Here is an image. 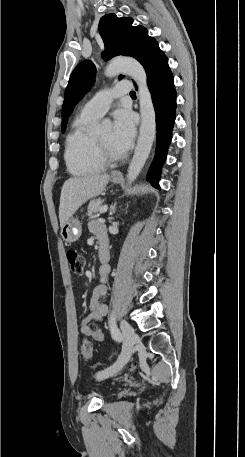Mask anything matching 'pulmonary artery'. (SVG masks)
<instances>
[{"label":"pulmonary artery","mask_w":245,"mask_h":457,"mask_svg":"<svg viewBox=\"0 0 245 457\" xmlns=\"http://www.w3.org/2000/svg\"><path fill=\"white\" fill-rule=\"evenodd\" d=\"M135 87V80H117L116 86H104L103 93H96L95 100L92 99L82 106L81 115L93 119L101 117L114 100H120L122 95H132Z\"/></svg>","instance_id":"obj_1"}]
</instances>
